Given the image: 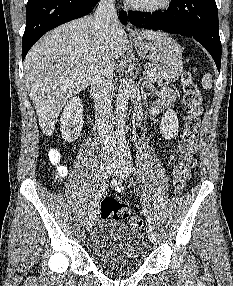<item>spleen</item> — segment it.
I'll list each match as a JSON object with an SVG mask.
<instances>
[{
  "instance_id": "1",
  "label": "spleen",
  "mask_w": 233,
  "mask_h": 286,
  "mask_svg": "<svg viewBox=\"0 0 233 286\" xmlns=\"http://www.w3.org/2000/svg\"><path fill=\"white\" fill-rule=\"evenodd\" d=\"M202 87L205 89V90H210L212 88V76L210 73H207L203 76L202 78Z\"/></svg>"
}]
</instances>
